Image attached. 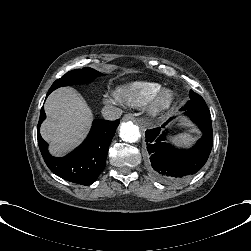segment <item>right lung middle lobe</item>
<instances>
[{
	"mask_svg": "<svg viewBox=\"0 0 251 251\" xmlns=\"http://www.w3.org/2000/svg\"><path fill=\"white\" fill-rule=\"evenodd\" d=\"M103 75L104 74L89 67L69 71L53 83L47 95L59 87L90 82L94 78Z\"/></svg>",
	"mask_w": 251,
	"mask_h": 251,
	"instance_id": "obj_1",
	"label": "right lung middle lobe"
}]
</instances>
